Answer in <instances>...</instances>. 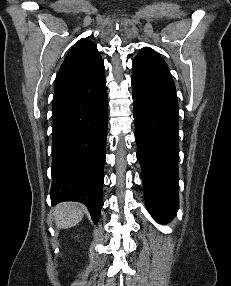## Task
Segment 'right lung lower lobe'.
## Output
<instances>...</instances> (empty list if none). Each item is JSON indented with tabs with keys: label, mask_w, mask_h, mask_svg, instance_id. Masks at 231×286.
I'll use <instances>...</instances> for the list:
<instances>
[{
	"label": "right lung lower lobe",
	"mask_w": 231,
	"mask_h": 286,
	"mask_svg": "<svg viewBox=\"0 0 231 286\" xmlns=\"http://www.w3.org/2000/svg\"><path fill=\"white\" fill-rule=\"evenodd\" d=\"M52 108L51 202L84 203L96 224L103 201L108 126L104 69L56 88Z\"/></svg>",
	"instance_id": "obj_1"
}]
</instances>
